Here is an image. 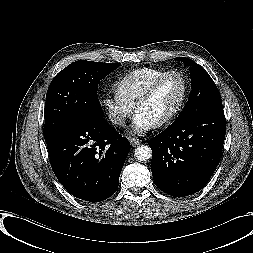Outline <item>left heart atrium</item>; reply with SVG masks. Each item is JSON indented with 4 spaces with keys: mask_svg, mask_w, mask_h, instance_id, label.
Instances as JSON below:
<instances>
[{
    "mask_svg": "<svg viewBox=\"0 0 253 253\" xmlns=\"http://www.w3.org/2000/svg\"><path fill=\"white\" fill-rule=\"evenodd\" d=\"M155 126V123L142 113L137 112L130 127L131 132L142 135Z\"/></svg>",
    "mask_w": 253,
    "mask_h": 253,
    "instance_id": "left-heart-atrium-1",
    "label": "left heart atrium"
}]
</instances>
